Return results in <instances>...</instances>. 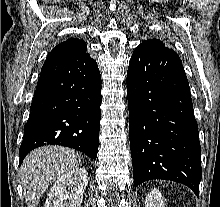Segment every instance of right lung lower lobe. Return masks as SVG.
I'll list each match as a JSON object with an SVG mask.
<instances>
[{"label": "right lung lower lobe", "instance_id": "1", "mask_svg": "<svg viewBox=\"0 0 220 207\" xmlns=\"http://www.w3.org/2000/svg\"><path fill=\"white\" fill-rule=\"evenodd\" d=\"M101 76L87 53L46 60L19 149L20 164L33 149L62 145L95 160L101 119Z\"/></svg>", "mask_w": 220, "mask_h": 207}]
</instances>
